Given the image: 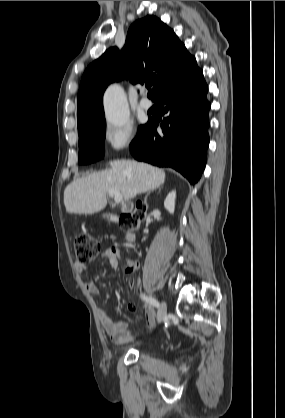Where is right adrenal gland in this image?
<instances>
[{
    "label": "right adrenal gland",
    "instance_id": "2a0ac1e0",
    "mask_svg": "<svg viewBox=\"0 0 285 418\" xmlns=\"http://www.w3.org/2000/svg\"><path fill=\"white\" fill-rule=\"evenodd\" d=\"M154 190V189H153ZM153 190H150V191H148L147 192V194H146V196H145V201H146V199H147V196L153 191Z\"/></svg>",
    "mask_w": 285,
    "mask_h": 418
}]
</instances>
